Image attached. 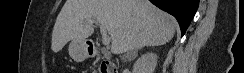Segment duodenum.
I'll use <instances>...</instances> for the list:
<instances>
[{"instance_id":"410a0bca","label":"duodenum","mask_w":244,"mask_h":73,"mask_svg":"<svg viewBox=\"0 0 244 73\" xmlns=\"http://www.w3.org/2000/svg\"><path fill=\"white\" fill-rule=\"evenodd\" d=\"M101 52V49L94 45H89L87 48H86V53L88 55V57L90 58H94L96 56H98ZM100 73H116V69L114 68V65L107 61V60H104L101 64V71Z\"/></svg>"}]
</instances>
